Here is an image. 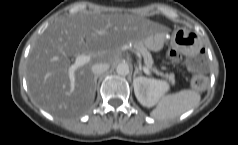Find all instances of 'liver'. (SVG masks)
Segmentation results:
<instances>
[{
    "label": "liver",
    "mask_w": 238,
    "mask_h": 145,
    "mask_svg": "<svg viewBox=\"0 0 238 145\" xmlns=\"http://www.w3.org/2000/svg\"><path fill=\"white\" fill-rule=\"evenodd\" d=\"M165 30L162 25L130 14H102L97 11L73 12L56 19L32 47L26 79L33 99L42 109L59 118L84 114L95 98L92 66L111 64L121 47L143 41ZM88 53L92 60L74 72L71 92L69 57Z\"/></svg>",
    "instance_id": "obj_1"
}]
</instances>
